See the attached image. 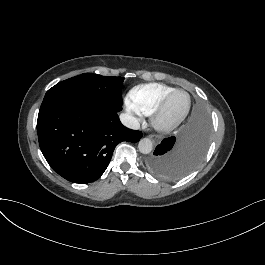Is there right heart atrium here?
<instances>
[{"label":"right heart atrium","mask_w":265,"mask_h":265,"mask_svg":"<svg viewBox=\"0 0 265 265\" xmlns=\"http://www.w3.org/2000/svg\"><path fill=\"white\" fill-rule=\"evenodd\" d=\"M127 106H128L129 109L135 110L134 107H133V105H132V103H130V102L127 103Z\"/></svg>","instance_id":"right-heart-atrium-1"}]
</instances>
